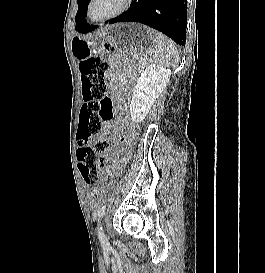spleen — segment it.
Returning <instances> with one entry per match:
<instances>
[{"mask_svg":"<svg viewBox=\"0 0 265 273\" xmlns=\"http://www.w3.org/2000/svg\"><path fill=\"white\" fill-rule=\"evenodd\" d=\"M147 34L151 39L156 61L164 67H176L179 63V53L175 44L154 29L147 28Z\"/></svg>","mask_w":265,"mask_h":273,"instance_id":"1","label":"spleen"}]
</instances>
